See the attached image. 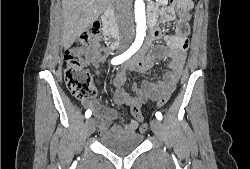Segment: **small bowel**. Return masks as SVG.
I'll list each match as a JSON object with an SVG mask.
<instances>
[{
  "label": "small bowel",
  "mask_w": 250,
  "mask_h": 169,
  "mask_svg": "<svg viewBox=\"0 0 250 169\" xmlns=\"http://www.w3.org/2000/svg\"><path fill=\"white\" fill-rule=\"evenodd\" d=\"M190 9L191 7L183 8L177 4L179 21L184 20L187 22L190 19ZM166 12L165 9L161 11L152 10L149 13L148 21L153 22L158 18L159 14L163 15ZM185 34L180 33L169 47L158 46L149 51H146L145 48L139 51L131 60L126 62L123 69L118 72L112 80V84L115 88L113 95L114 103L116 105H126L129 107V110H131L130 103L145 104L151 100V95H158V91H164L165 89H173L175 91L186 60L188 41ZM147 46H149V44H147ZM74 54L78 57L82 65L91 64L93 66H98L105 60V54L96 46L92 49L75 48ZM161 58L168 59V63L160 77L155 81L144 80L140 85L133 84L132 90L134 94H128L124 89L126 80L125 72L137 70L145 73L153 66L156 60ZM82 104L85 108L93 111L102 134H106L109 131L133 133L137 127V122L140 121L135 120V115H131V121L124 126L110 127L112 121L118 116V113L114 109L108 108L94 99H83Z\"/></svg>",
  "instance_id": "c3829d8e"
}]
</instances>
